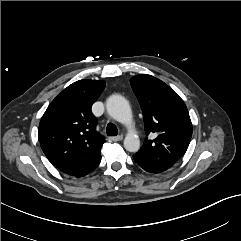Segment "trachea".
<instances>
[{"label": "trachea", "mask_w": 241, "mask_h": 241, "mask_svg": "<svg viewBox=\"0 0 241 241\" xmlns=\"http://www.w3.org/2000/svg\"><path fill=\"white\" fill-rule=\"evenodd\" d=\"M106 133L108 136H117L118 129L113 123H108L106 127Z\"/></svg>", "instance_id": "3493384b"}]
</instances>
